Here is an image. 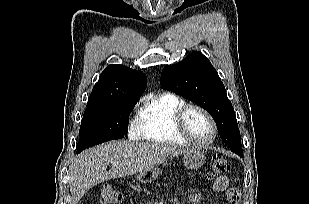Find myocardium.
Segmentation results:
<instances>
[{
  "instance_id": "obj_1",
  "label": "myocardium",
  "mask_w": 309,
  "mask_h": 204,
  "mask_svg": "<svg viewBox=\"0 0 309 204\" xmlns=\"http://www.w3.org/2000/svg\"><path fill=\"white\" fill-rule=\"evenodd\" d=\"M191 110H197L201 112L209 121L212 127V136L209 140L200 141L196 139L188 130L186 124V117L189 111ZM175 127L183 138H185L188 142L197 146H208L212 144L215 141L218 133L217 125L212 115L204 107L194 103H186L177 111L175 116Z\"/></svg>"
}]
</instances>
